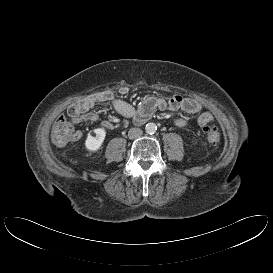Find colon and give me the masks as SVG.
I'll use <instances>...</instances> for the list:
<instances>
[{
	"label": "colon",
	"instance_id": "1",
	"mask_svg": "<svg viewBox=\"0 0 273 273\" xmlns=\"http://www.w3.org/2000/svg\"><path fill=\"white\" fill-rule=\"evenodd\" d=\"M204 132L208 141L213 145H218L221 142V135L215 126H206ZM72 123L64 116L59 115L54 121L52 130V140L54 144L63 146L75 139Z\"/></svg>",
	"mask_w": 273,
	"mask_h": 273
}]
</instances>
